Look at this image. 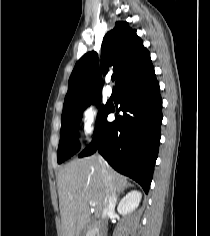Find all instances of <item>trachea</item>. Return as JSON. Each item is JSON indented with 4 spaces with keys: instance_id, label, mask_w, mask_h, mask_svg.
I'll list each match as a JSON object with an SVG mask.
<instances>
[{
    "instance_id": "trachea-1",
    "label": "trachea",
    "mask_w": 210,
    "mask_h": 236,
    "mask_svg": "<svg viewBox=\"0 0 210 236\" xmlns=\"http://www.w3.org/2000/svg\"><path fill=\"white\" fill-rule=\"evenodd\" d=\"M115 78H116V76H115V75H112L111 80L114 81Z\"/></svg>"
}]
</instances>
